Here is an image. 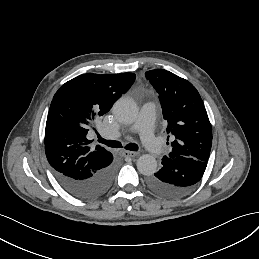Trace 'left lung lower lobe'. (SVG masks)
Listing matches in <instances>:
<instances>
[{
    "label": "left lung lower lobe",
    "instance_id": "0a47b994",
    "mask_svg": "<svg viewBox=\"0 0 259 259\" xmlns=\"http://www.w3.org/2000/svg\"><path fill=\"white\" fill-rule=\"evenodd\" d=\"M162 165L157 173L148 177L147 185L162 197L178 198L189 193L200 181L207 162L186 156H164Z\"/></svg>",
    "mask_w": 259,
    "mask_h": 259
}]
</instances>
